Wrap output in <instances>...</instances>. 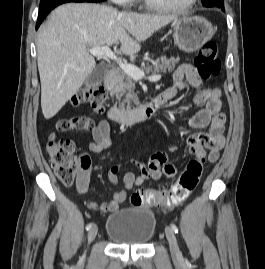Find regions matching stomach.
<instances>
[{"mask_svg":"<svg viewBox=\"0 0 265 269\" xmlns=\"http://www.w3.org/2000/svg\"><path fill=\"white\" fill-rule=\"evenodd\" d=\"M171 28L175 44L187 53L200 49L215 32L211 22L201 16L178 17Z\"/></svg>","mask_w":265,"mask_h":269,"instance_id":"stomach-1","label":"stomach"}]
</instances>
